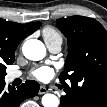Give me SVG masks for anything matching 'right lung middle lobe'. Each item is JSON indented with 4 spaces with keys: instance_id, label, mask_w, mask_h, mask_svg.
Instances as JSON below:
<instances>
[{
    "instance_id": "obj_1",
    "label": "right lung middle lobe",
    "mask_w": 107,
    "mask_h": 107,
    "mask_svg": "<svg viewBox=\"0 0 107 107\" xmlns=\"http://www.w3.org/2000/svg\"><path fill=\"white\" fill-rule=\"evenodd\" d=\"M6 75V69H0V80H4V76Z\"/></svg>"
}]
</instances>
